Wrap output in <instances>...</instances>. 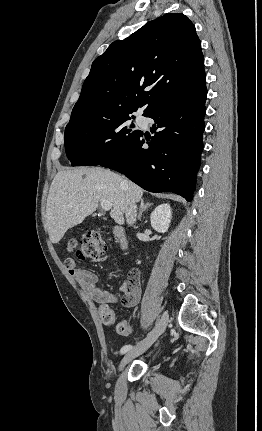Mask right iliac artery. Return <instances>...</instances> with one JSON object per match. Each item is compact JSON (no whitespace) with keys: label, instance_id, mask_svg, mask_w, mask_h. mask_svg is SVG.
<instances>
[{"label":"right iliac artery","instance_id":"right-iliac-artery-1","mask_svg":"<svg viewBox=\"0 0 262 431\" xmlns=\"http://www.w3.org/2000/svg\"><path fill=\"white\" fill-rule=\"evenodd\" d=\"M131 348H132V346H131V345H125L124 347H122V349H121L120 353H121V354H124V353H126L127 351H129Z\"/></svg>","mask_w":262,"mask_h":431}]
</instances>
